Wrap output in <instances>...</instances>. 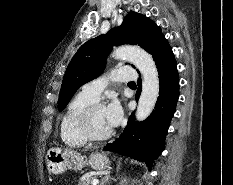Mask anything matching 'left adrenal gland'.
I'll return each instance as SVG.
<instances>
[{
    "instance_id": "obj_1",
    "label": "left adrenal gland",
    "mask_w": 233,
    "mask_h": 185,
    "mask_svg": "<svg viewBox=\"0 0 233 185\" xmlns=\"http://www.w3.org/2000/svg\"><path fill=\"white\" fill-rule=\"evenodd\" d=\"M109 178H110V175H109V174L106 175V176L102 179L101 185H104L106 182H108Z\"/></svg>"
}]
</instances>
